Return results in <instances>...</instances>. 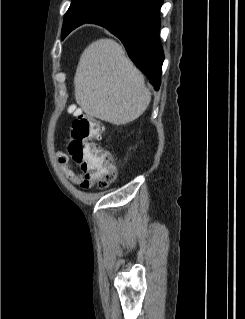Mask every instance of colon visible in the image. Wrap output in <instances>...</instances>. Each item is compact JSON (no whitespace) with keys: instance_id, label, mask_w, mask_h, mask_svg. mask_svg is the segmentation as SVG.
<instances>
[{"instance_id":"colon-1","label":"colon","mask_w":245,"mask_h":319,"mask_svg":"<svg viewBox=\"0 0 245 319\" xmlns=\"http://www.w3.org/2000/svg\"><path fill=\"white\" fill-rule=\"evenodd\" d=\"M103 131L104 126L100 121L80 114L73 120L68 132L66 150L82 173L84 188H106L116 177L111 155L94 142L102 136Z\"/></svg>"}]
</instances>
